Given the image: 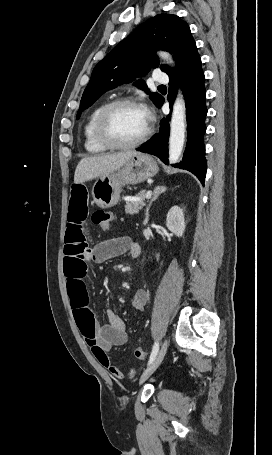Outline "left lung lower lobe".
<instances>
[{"instance_id":"0a47b994","label":"left lung lower lobe","mask_w":272,"mask_h":455,"mask_svg":"<svg viewBox=\"0 0 272 455\" xmlns=\"http://www.w3.org/2000/svg\"><path fill=\"white\" fill-rule=\"evenodd\" d=\"M169 96L170 108L176 96L177 87H181L184 93L187 117V145L182 162L174 165L180 169L192 172L204 184L206 175L205 146L203 136L206 131L205 117L207 109L205 106L206 91L204 87V73L201 68V59L198 57L181 71L169 75ZM164 102L162 97L156 106L161 107ZM170 116L160 121L159 133L154 135L137 151L157 156L165 164L168 162V138L170 132Z\"/></svg>"}]
</instances>
